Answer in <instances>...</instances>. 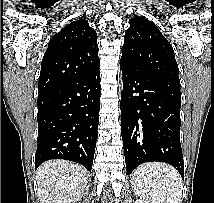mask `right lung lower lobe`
I'll list each match as a JSON object with an SVG mask.
<instances>
[{
    "mask_svg": "<svg viewBox=\"0 0 214 203\" xmlns=\"http://www.w3.org/2000/svg\"><path fill=\"white\" fill-rule=\"evenodd\" d=\"M99 68L38 93L35 168L51 159L82 164L91 171L100 110Z\"/></svg>",
    "mask_w": 214,
    "mask_h": 203,
    "instance_id": "98d812e1",
    "label": "right lung lower lobe"
}]
</instances>
